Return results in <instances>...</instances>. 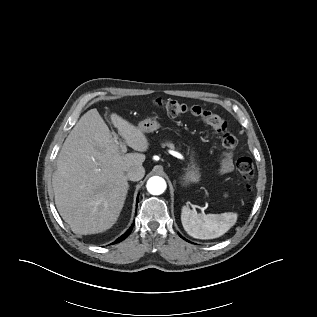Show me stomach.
Returning a JSON list of instances; mask_svg holds the SVG:
<instances>
[{
  "instance_id": "stomach-1",
  "label": "stomach",
  "mask_w": 317,
  "mask_h": 317,
  "mask_svg": "<svg viewBox=\"0 0 317 317\" xmlns=\"http://www.w3.org/2000/svg\"><path fill=\"white\" fill-rule=\"evenodd\" d=\"M159 127L160 124L158 123L157 118L155 116L148 117L147 119L141 121L138 125V128L143 133H150L156 131ZM199 170L200 169L196 163L195 155L192 154L189 168L182 177V185L188 186L191 183L198 182L201 176Z\"/></svg>"
}]
</instances>
